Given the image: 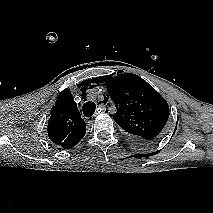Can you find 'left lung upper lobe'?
I'll list each match as a JSON object with an SVG mask.
<instances>
[{
    "instance_id": "1",
    "label": "left lung upper lobe",
    "mask_w": 213,
    "mask_h": 213,
    "mask_svg": "<svg viewBox=\"0 0 213 213\" xmlns=\"http://www.w3.org/2000/svg\"><path fill=\"white\" fill-rule=\"evenodd\" d=\"M117 111L115 122L133 139L150 142L158 137L169 117L167 101L145 80L131 73L105 76L102 82Z\"/></svg>"
}]
</instances>
